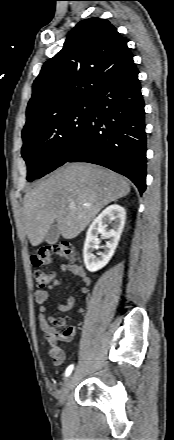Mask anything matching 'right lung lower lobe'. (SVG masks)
<instances>
[{"label": "right lung lower lobe", "mask_w": 174, "mask_h": 440, "mask_svg": "<svg viewBox=\"0 0 174 440\" xmlns=\"http://www.w3.org/2000/svg\"><path fill=\"white\" fill-rule=\"evenodd\" d=\"M132 61L107 78L91 96L87 127L65 162H88L128 177L146 189L144 101Z\"/></svg>", "instance_id": "98d812e1"}]
</instances>
